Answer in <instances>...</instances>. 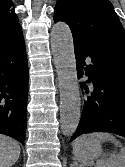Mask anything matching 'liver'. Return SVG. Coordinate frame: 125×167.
I'll list each match as a JSON object with an SVG mask.
<instances>
[{"mask_svg": "<svg viewBox=\"0 0 125 167\" xmlns=\"http://www.w3.org/2000/svg\"><path fill=\"white\" fill-rule=\"evenodd\" d=\"M20 156L19 143L5 135L0 134V167H11Z\"/></svg>", "mask_w": 125, "mask_h": 167, "instance_id": "liver-1", "label": "liver"}]
</instances>
